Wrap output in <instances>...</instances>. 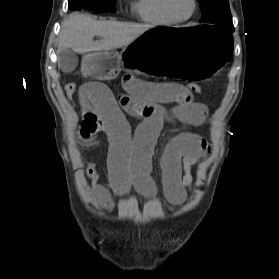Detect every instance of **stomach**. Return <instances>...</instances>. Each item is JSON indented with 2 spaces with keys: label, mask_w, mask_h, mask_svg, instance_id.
I'll list each match as a JSON object with an SVG mask.
<instances>
[{
  "label": "stomach",
  "mask_w": 279,
  "mask_h": 279,
  "mask_svg": "<svg viewBox=\"0 0 279 279\" xmlns=\"http://www.w3.org/2000/svg\"><path fill=\"white\" fill-rule=\"evenodd\" d=\"M224 28V24L154 25L121 53L113 49L84 50L75 75L83 82H111L122 67L140 75L147 72L158 82H213L235 55L231 34L215 30Z\"/></svg>",
  "instance_id": "0dacf381"
}]
</instances>
